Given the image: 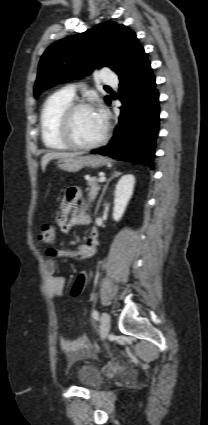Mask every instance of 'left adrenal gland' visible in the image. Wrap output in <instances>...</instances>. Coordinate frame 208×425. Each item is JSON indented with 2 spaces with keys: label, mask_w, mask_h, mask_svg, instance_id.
<instances>
[{
  "label": "left adrenal gland",
  "mask_w": 208,
  "mask_h": 425,
  "mask_svg": "<svg viewBox=\"0 0 208 425\" xmlns=\"http://www.w3.org/2000/svg\"><path fill=\"white\" fill-rule=\"evenodd\" d=\"M120 175H121V172H119V171H113V173H112L111 177L107 180V182H106V184H105V186H104V188H103L102 194H101V196H100V198H99V200H98V203H97V206H96V209H95V215H97V214H98V211H99V207H100V204H101L102 198H103V196H104V194H105V192H106V190H107V187H108L109 182H110L113 178L118 177V176H120Z\"/></svg>",
  "instance_id": "a2214340"
}]
</instances>
